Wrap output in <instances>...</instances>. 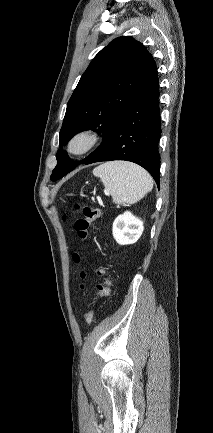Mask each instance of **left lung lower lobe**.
<instances>
[{
	"label": "left lung lower lobe",
	"instance_id": "1",
	"mask_svg": "<svg viewBox=\"0 0 213 433\" xmlns=\"http://www.w3.org/2000/svg\"><path fill=\"white\" fill-rule=\"evenodd\" d=\"M157 67L128 103L100 149L85 164L126 160L145 168L159 188L161 134Z\"/></svg>",
	"mask_w": 213,
	"mask_h": 433
}]
</instances>
